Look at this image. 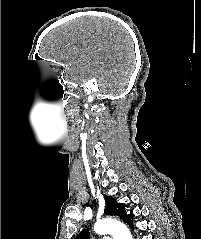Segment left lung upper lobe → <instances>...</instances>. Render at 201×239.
<instances>
[{
	"label": "left lung upper lobe",
	"mask_w": 201,
	"mask_h": 239,
	"mask_svg": "<svg viewBox=\"0 0 201 239\" xmlns=\"http://www.w3.org/2000/svg\"><path fill=\"white\" fill-rule=\"evenodd\" d=\"M104 197L106 202L104 214L118 216L122 218L131 228L134 227L131 220L134 215L126 214L124 208L125 205L123 203H117V201H115L111 196L104 195ZM75 239H90V233L87 229H84Z\"/></svg>",
	"instance_id": "5c2ea615"
}]
</instances>
